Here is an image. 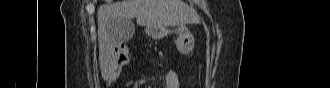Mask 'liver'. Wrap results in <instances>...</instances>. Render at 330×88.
Wrapping results in <instances>:
<instances>
[{
    "label": "liver",
    "instance_id": "1",
    "mask_svg": "<svg viewBox=\"0 0 330 88\" xmlns=\"http://www.w3.org/2000/svg\"><path fill=\"white\" fill-rule=\"evenodd\" d=\"M98 43L99 63L104 80L110 76L115 48L119 42L115 24L136 18L145 26V32L154 29L183 25L196 19L192 9L182 0H122L99 6Z\"/></svg>",
    "mask_w": 330,
    "mask_h": 88
}]
</instances>
